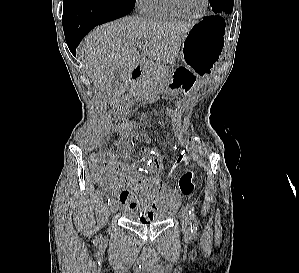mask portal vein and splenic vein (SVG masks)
I'll use <instances>...</instances> for the list:
<instances>
[{"label":"portal vein and splenic vein","instance_id":"1","mask_svg":"<svg viewBox=\"0 0 299 273\" xmlns=\"http://www.w3.org/2000/svg\"><path fill=\"white\" fill-rule=\"evenodd\" d=\"M139 48H141V45H137Z\"/></svg>","mask_w":299,"mask_h":273}]
</instances>
